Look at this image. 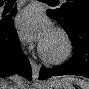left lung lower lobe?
<instances>
[{
    "instance_id": "1",
    "label": "left lung lower lobe",
    "mask_w": 89,
    "mask_h": 89,
    "mask_svg": "<svg viewBox=\"0 0 89 89\" xmlns=\"http://www.w3.org/2000/svg\"><path fill=\"white\" fill-rule=\"evenodd\" d=\"M47 14L56 20L50 10L47 11ZM65 31L73 44L72 58L67 63L52 69L41 68L39 79L46 80L60 75H79L89 78V20H77Z\"/></svg>"
}]
</instances>
